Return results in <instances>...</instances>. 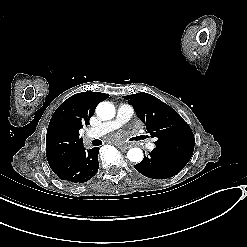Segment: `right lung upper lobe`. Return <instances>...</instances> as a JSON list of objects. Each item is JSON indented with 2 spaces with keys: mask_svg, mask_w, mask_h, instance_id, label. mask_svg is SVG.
Segmentation results:
<instances>
[{
  "mask_svg": "<svg viewBox=\"0 0 247 247\" xmlns=\"http://www.w3.org/2000/svg\"><path fill=\"white\" fill-rule=\"evenodd\" d=\"M108 94L81 92L66 99L54 112L46 135V156L49 163L55 162L83 144L79 130L89 124L96 106L106 100Z\"/></svg>",
  "mask_w": 247,
  "mask_h": 247,
  "instance_id": "right-lung-upper-lobe-1",
  "label": "right lung upper lobe"
}]
</instances>
